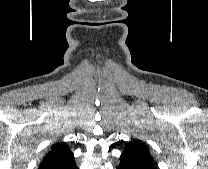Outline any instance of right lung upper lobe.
Returning a JSON list of instances; mask_svg holds the SVG:
<instances>
[{
  "mask_svg": "<svg viewBox=\"0 0 208 169\" xmlns=\"http://www.w3.org/2000/svg\"><path fill=\"white\" fill-rule=\"evenodd\" d=\"M73 153L64 142H57L52 145L51 150L43 158L38 169H53L73 159Z\"/></svg>",
  "mask_w": 208,
  "mask_h": 169,
  "instance_id": "right-lung-upper-lobe-1",
  "label": "right lung upper lobe"
}]
</instances>
